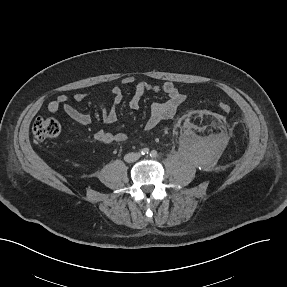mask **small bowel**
<instances>
[{
    "label": "small bowel",
    "instance_id": "c3829d8e",
    "mask_svg": "<svg viewBox=\"0 0 287 287\" xmlns=\"http://www.w3.org/2000/svg\"><path fill=\"white\" fill-rule=\"evenodd\" d=\"M123 85L133 86L134 95L129 101V107L133 110H138L145 93L156 92L164 93L168 99L165 102H155L150 107L149 117L145 123L146 130L154 129L160 122L173 117L184 102L185 96L179 91L176 85L167 81L160 85L150 84L146 81H138L133 76H125L121 80ZM112 95L111 106H106L104 103L99 104L101 116L105 124H112L117 120V107L122 103L124 95L120 87L115 86L110 90ZM89 97L87 93H76L73 95V100L77 103L84 102ZM47 110L50 113H56L62 110L71 120L81 125H90L92 118L89 114L83 113L68 103V97L64 94L57 96L47 104ZM95 138L105 144L112 142L124 143L128 136L126 133H113L107 130H99L95 134Z\"/></svg>",
    "mask_w": 287,
    "mask_h": 287
}]
</instances>
